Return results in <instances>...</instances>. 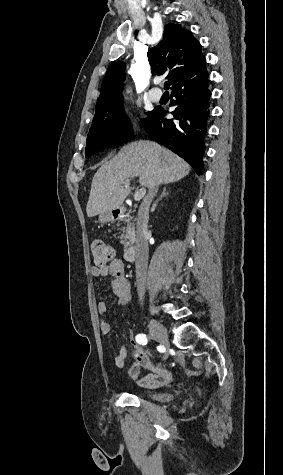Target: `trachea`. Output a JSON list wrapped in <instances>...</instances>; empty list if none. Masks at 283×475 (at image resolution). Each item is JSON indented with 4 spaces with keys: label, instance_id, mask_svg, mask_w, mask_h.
<instances>
[{
    "label": "trachea",
    "instance_id": "trachea-1",
    "mask_svg": "<svg viewBox=\"0 0 283 475\" xmlns=\"http://www.w3.org/2000/svg\"><path fill=\"white\" fill-rule=\"evenodd\" d=\"M169 88H170V84L168 82H165L164 89L167 91Z\"/></svg>",
    "mask_w": 283,
    "mask_h": 475
}]
</instances>
